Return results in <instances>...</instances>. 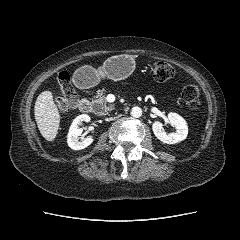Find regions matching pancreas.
I'll use <instances>...</instances> for the list:
<instances>
[{"instance_id":"obj_1","label":"pancreas","mask_w":240,"mask_h":240,"mask_svg":"<svg viewBox=\"0 0 240 240\" xmlns=\"http://www.w3.org/2000/svg\"><path fill=\"white\" fill-rule=\"evenodd\" d=\"M106 90H98L95 99L93 100V106L96 114L104 115L114 109V104H108L106 101Z\"/></svg>"}]
</instances>
